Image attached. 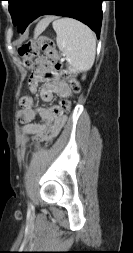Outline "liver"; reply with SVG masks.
Masks as SVG:
<instances>
[{
  "instance_id": "6515ba94",
  "label": "liver",
  "mask_w": 133,
  "mask_h": 253,
  "mask_svg": "<svg viewBox=\"0 0 133 253\" xmlns=\"http://www.w3.org/2000/svg\"><path fill=\"white\" fill-rule=\"evenodd\" d=\"M53 19H54L53 16H47L44 19H42L35 28V35L37 36L41 34Z\"/></svg>"
}]
</instances>
